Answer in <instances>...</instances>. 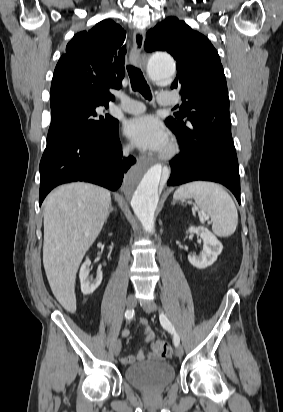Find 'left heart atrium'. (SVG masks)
Here are the masks:
<instances>
[{
  "label": "left heart atrium",
  "instance_id": "left-heart-atrium-1",
  "mask_svg": "<svg viewBox=\"0 0 283 412\" xmlns=\"http://www.w3.org/2000/svg\"><path fill=\"white\" fill-rule=\"evenodd\" d=\"M124 133L138 148L160 152L168 144V134L164 125L151 115H142L128 120Z\"/></svg>",
  "mask_w": 283,
  "mask_h": 412
}]
</instances>
